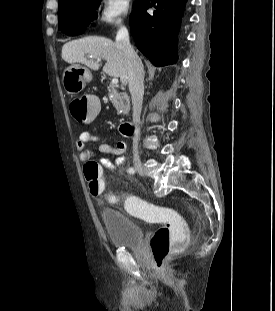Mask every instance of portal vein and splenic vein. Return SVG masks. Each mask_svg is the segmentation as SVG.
<instances>
[{"instance_id":"18ae733b","label":"portal vein and splenic vein","mask_w":275,"mask_h":311,"mask_svg":"<svg viewBox=\"0 0 275 311\" xmlns=\"http://www.w3.org/2000/svg\"><path fill=\"white\" fill-rule=\"evenodd\" d=\"M97 61H101V58H97ZM118 78L117 77H113L111 80V84L112 85H117L118 84Z\"/></svg>"}]
</instances>
